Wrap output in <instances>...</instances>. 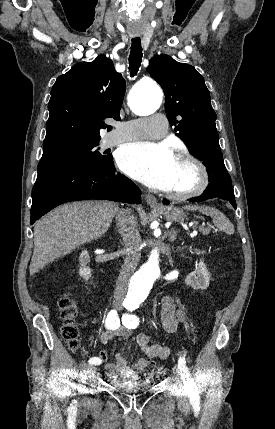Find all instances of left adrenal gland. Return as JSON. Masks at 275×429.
<instances>
[{"label": "left adrenal gland", "instance_id": "left-adrenal-gland-1", "mask_svg": "<svg viewBox=\"0 0 275 429\" xmlns=\"http://www.w3.org/2000/svg\"><path fill=\"white\" fill-rule=\"evenodd\" d=\"M177 234H178V231L177 230H171V231H168L167 232V235H168V239H169V241L170 242H174L175 240H176V236H177Z\"/></svg>", "mask_w": 275, "mask_h": 429}]
</instances>
